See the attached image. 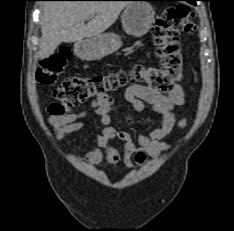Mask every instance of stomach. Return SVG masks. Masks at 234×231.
Segmentation results:
<instances>
[{
    "label": "stomach",
    "mask_w": 234,
    "mask_h": 231,
    "mask_svg": "<svg viewBox=\"0 0 234 231\" xmlns=\"http://www.w3.org/2000/svg\"><path fill=\"white\" fill-rule=\"evenodd\" d=\"M154 16L155 11L148 2L135 0L122 13V27L128 35L142 37L150 30ZM121 46V38L108 32L78 41L74 45V51L79 58L94 61L116 52Z\"/></svg>",
    "instance_id": "1"
}]
</instances>
